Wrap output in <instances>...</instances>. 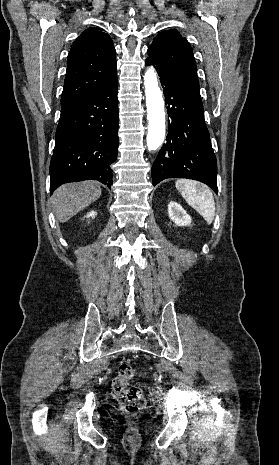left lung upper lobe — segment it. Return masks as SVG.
Wrapping results in <instances>:
<instances>
[{"label":"left lung upper lobe","instance_id":"5c2ea615","mask_svg":"<svg viewBox=\"0 0 279 465\" xmlns=\"http://www.w3.org/2000/svg\"><path fill=\"white\" fill-rule=\"evenodd\" d=\"M148 61L199 91L196 62L189 42L175 30L159 33L148 48Z\"/></svg>","mask_w":279,"mask_h":465}]
</instances>
